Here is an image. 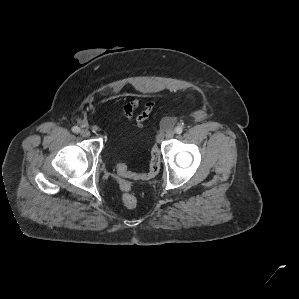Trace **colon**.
Here are the masks:
<instances>
[{"label": "colon", "mask_w": 299, "mask_h": 299, "mask_svg": "<svg viewBox=\"0 0 299 299\" xmlns=\"http://www.w3.org/2000/svg\"><path fill=\"white\" fill-rule=\"evenodd\" d=\"M161 167V152L155 147L151 151L148 170L143 173H136L131 171L125 164L118 166V173L120 178L118 180L121 189V200L128 208H133L137 204L136 197L131 193V184L128 179L134 180H147L156 176Z\"/></svg>", "instance_id": "obj_1"}]
</instances>
